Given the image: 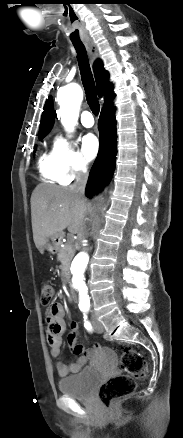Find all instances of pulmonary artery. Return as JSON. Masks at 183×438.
I'll return each instance as SVG.
<instances>
[{"label":"pulmonary artery","instance_id":"pulmonary-artery-1","mask_svg":"<svg viewBox=\"0 0 183 438\" xmlns=\"http://www.w3.org/2000/svg\"><path fill=\"white\" fill-rule=\"evenodd\" d=\"M81 122L85 127H92L94 125L93 114L89 110H85L81 114Z\"/></svg>","mask_w":183,"mask_h":438}]
</instances>
